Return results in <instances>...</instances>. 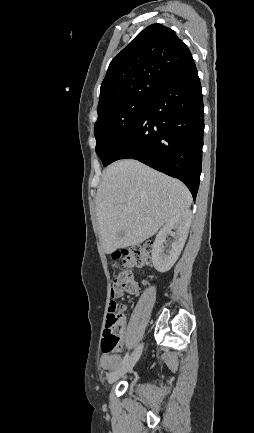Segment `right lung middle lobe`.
<instances>
[{
    "label": "right lung middle lobe",
    "mask_w": 254,
    "mask_h": 433,
    "mask_svg": "<svg viewBox=\"0 0 254 433\" xmlns=\"http://www.w3.org/2000/svg\"><path fill=\"white\" fill-rule=\"evenodd\" d=\"M151 99H128L98 110L94 126L96 153L104 166L109 165L113 153L124 136L139 119Z\"/></svg>",
    "instance_id": "1"
}]
</instances>
